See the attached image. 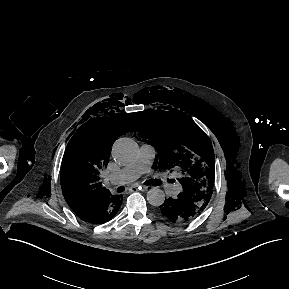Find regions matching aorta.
I'll use <instances>...</instances> for the list:
<instances>
[{
  "mask_svg": "<svg viewBox=\"0 0 289 289\" xmlns=\"http://www.w3.org/2000/svg\"><path fill=\"white\" fill-rule=\"evenodd\" d=\"M137 143L130 138L118 139L112 147V157L120 164H126L133 161L138 154ZM147 201L152 206L158 207L165 201L163 190L153 187L147 192Z\"/></svg>",
  "mask_w": 289,
  "mask_h": 289,
  "instance_id": "1",
  "label": "aorta"
}]
</instances>
